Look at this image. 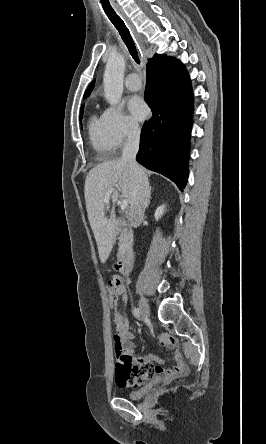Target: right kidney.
Listing matches in <instances>:
<instances>
[{
    "label": "right kidney",
    "mask_w": 266,
    "mask_h": 444,
    "mask_svg": "<svg viewBox=\"0 0 266 444\" xmlns=\"http://www.w3.org/2000/svg\"><path fill=\"white\" fill-rule=\"evenodd\" d=\"M165 205L159 206L155 211V220L158 221V219L163 215L164 213Z\"/></svg>",
    "instance_id": "obj_1"
}]
</instances>
